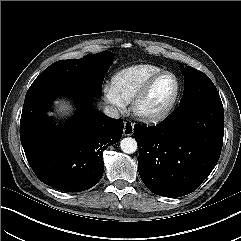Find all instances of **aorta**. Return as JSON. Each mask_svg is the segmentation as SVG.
I'll return each instance as SVG.
<instances>
[{
  "mask_svg": "<svg viewBox=\"0 0 241 241\" xmlns=\"http://www.w3.org/2000/svg\"><path fill=\"white\" fill-rule=\"evenodd\" d=\"M121 150L126 154H132L137 150V142L134 138L126 137L120 141Z\"/></svg>",
  "mask_w": 241,
  "mask_h": 241,
  "instance_id": "762f6f07",
  "label": "aorta"
}]
</instances>
